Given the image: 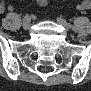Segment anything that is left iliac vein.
I'll return each instance as SVG.
<instances>
[{
	"mask_svg": "<svg viewBox=\"0 0 91 91\" xmlns=\"http://www.w3.org/2000/svg\"><path fill=\"white\" fill-rule=\"evenodd\" d=\"M57 22L62 25L66 30H69L70 28L67 26V22L62 17L57 18Z\"/></svg>",
	"mask_w": 91,
	"mask_h": 91,
	"instance_id": "1",
	"label": "left iliac vein"
}]
</instances>
